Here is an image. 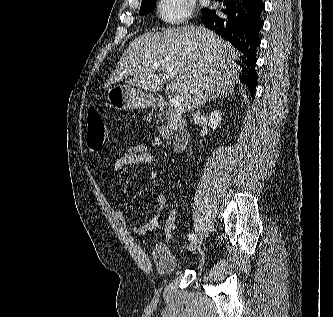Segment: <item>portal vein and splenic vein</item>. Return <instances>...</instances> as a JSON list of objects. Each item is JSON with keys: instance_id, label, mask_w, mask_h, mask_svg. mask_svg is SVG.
Wrapping results in <instances>:
<instances>
[{"instance_id": "portal-vein-and-splenic-vein-1", "label": "portal vein and splenic vein", "mask_w": 333, "mask_h": 317, "mask_svg": "<svg viewBox=\"0 0 333 317\" xmlns=\"http://www.w3.org/2000/svg\"><path fill=\"white\" fill-rule=\"evenodd\" d=\"M171 103L174 107H181L182 106V99L179 96L175 95V96L172 97Z\"/></svg>"}]
</instances>
